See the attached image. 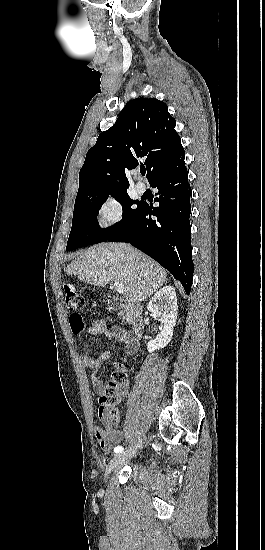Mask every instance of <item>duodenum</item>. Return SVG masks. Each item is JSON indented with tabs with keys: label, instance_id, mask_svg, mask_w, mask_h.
I'll return each mask as SVG.
<instances>
[{
	"label": "duodenum",
	"instance_id": "1",
	"mask_svg": "<svg viewBox=\"0 0 265 550\" xmlns=\"http://www.w3.org/2000/svg\"><path fill=\"white\" fill-rule=\"evenodd\" d=\"M107 302L112 311L125 312L127 314L134 335V345L137 347L138 340L144 330L142 305L135 302H128L116 296H109Z\"/></svg>",
	"mask_w": 265,
	"mask_h": 550
}]
</instances>
